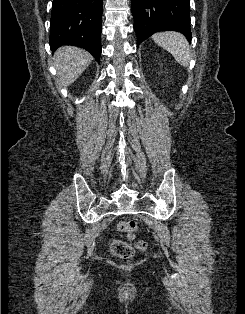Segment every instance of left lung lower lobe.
I'll return each mask as SVG.
<instances>
[{
    "instance_id": "1",
    "label": "left lung lower lobe",
    "mask_w": 245,
    "mask_h": 314,
    "mask_svg": "<svg viewBox=\"0 0 245 314\" xmlns=\"http://www.w3.org/2000/svg\"><path fill=\"white\" fill-rule=\"evenodd\" d=\"M190 0H132L137 46L152 34L174 30L191 41Z\"/></svg>"
}]
</instances>
